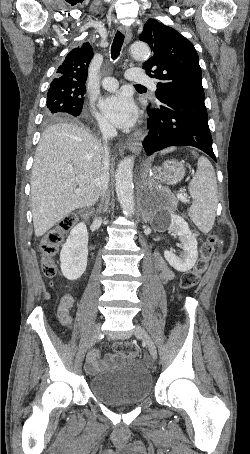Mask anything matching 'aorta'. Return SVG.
<instances>
[{
	"instance_id": "762f6f07",
	"label": "aorta",
	"mask_w": 250,
	"mask_h": 454,
	"mask_svg": "<svg viewBox=\"0 0 250 454\" xmlns=\"http://www.w3.org/2000/svg\"><path fill=\"white\" fill-rule=\"evenodd\" d=\"M130 53L137 60H147L150 56V48L145 42H134L130 45ZM134 158L126 157L118 164L116 179V194L124 214H134V186H133Z\"/></svg>"
}]
</instances>
